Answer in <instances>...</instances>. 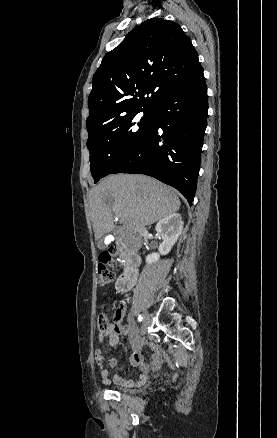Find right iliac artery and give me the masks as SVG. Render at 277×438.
<instances>
[{
	"mask_svg": "<svg viewBox=\"0 0 277 438\" xmlns=\"http://www.w3.org/2000/svg\"><path fill=\"white\" fill-rule=\"evenodd\" d=\"M138 321L142 322L143 321V317L141 315L138 316Z\"/></svg>",
	"mask_w": 277,
	"mask_h": 438,
	"instance_id": "1",
	"label": "right iliac artery"
}]
</instances>
